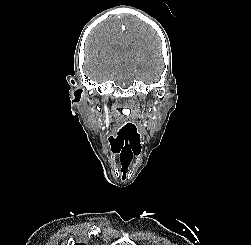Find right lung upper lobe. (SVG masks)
<instances>
[{
	"instance_id": "1",
	"label": "right lung upper lobe",
	"mask_w": 251,
	"mask_h": 245,
	"mask_svg": "<svg viewBox=\"0 0 251 245\" xmlns=\"http://www.w3.org/2000/svg\"><path fill=\"white\" fill-rule=\"evenodd\" d=\"M75 245H84V244H83V243H80V244H77V243H76Z\"/></svg>"
}]
</instances>
